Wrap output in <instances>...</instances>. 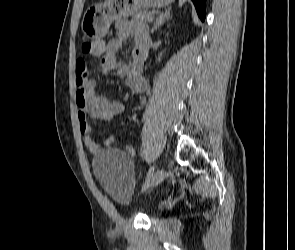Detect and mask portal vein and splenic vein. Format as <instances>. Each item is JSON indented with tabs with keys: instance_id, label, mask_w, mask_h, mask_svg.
<instances>
[{
	"instance_id": "1",
	"label": "portal vein and splenic vein",
	"mask_w": 295,
	"mask_h": 250,
	"mask_svg": "<svg viewBox=\"0 0 295 250\" xmlns=\"http://www.w3.org/2000/svg\"><path fill=\"white\" fill-rule=\"evenodd\" d=\"M153 19H154V16H148V17H147V22H152Z\"/></svg>"
}]
</instances>
